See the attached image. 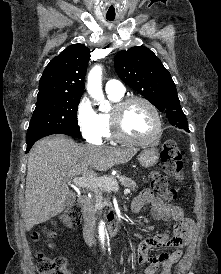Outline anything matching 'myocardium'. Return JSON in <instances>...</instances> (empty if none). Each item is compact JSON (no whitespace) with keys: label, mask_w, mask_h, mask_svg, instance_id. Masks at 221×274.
I'll return each mask as SVG.
<instances>
[{"label":"myocardium","mask_w":221,"mask_h":274,"mask_svg":"<svg viewBox=\"0 0 221 274\" xmlns=\"http://www.w3.org/2000/svg\"><path fill=\"white\" fill-rule=\"evenodd\" d=\"M135 102H141L144 105H146L151 111L154 118V122H155V128L152 134L149 137L144 139L130 138L127 135H125L122 130V125H121L122 115L125 109L129 105ZM110 123H111V130H112L113 137L117 141L124 144H128V145L143 146V145L151 144L158 138V136L160 135L162 131V119H161L159 110L149 99L143 96L126 97L118 101L117 103H115L110 112Z\"/></svg>","instance_id":"f54148a6"}]
</instances>
